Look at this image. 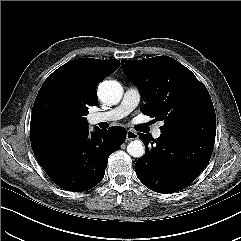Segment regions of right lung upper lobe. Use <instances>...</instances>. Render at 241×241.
<instances>
[{"instance_id": "cb5924a9", "label": "right lung upper lobe", "mask_w": 241, "mask_h": 241, "mask_svg": "<svg viewBox=\"0 0 241 241\" xmlns=\"http://www.w3.org/2000/svg\"><path fill=\"white\" fill-rule=\"evenodd\" d=\"M120 61L93 58L72 60L54 71L42 84L35 99L30 124L31 143L60 137L87 128L88 106H95L97 85L114 73ZM56 103L71 111L72 123L61 130H49L42 122L44 111Z\"/></svg>"}]
</instances>
